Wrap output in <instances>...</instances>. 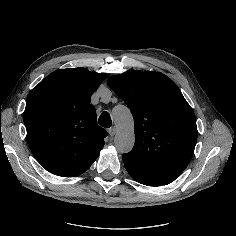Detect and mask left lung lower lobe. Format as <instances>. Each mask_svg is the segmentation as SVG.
<instances>
[{"instance_id":"obj_1","label":"left lung lower lobe","mask_w":236,"mask_h":236,"mask_svg":"<svg viewBox=\"0 0 236 236\" xmlns=\"http://www.w3.org/2000/svg\"><path fill=\"white\" fill-rule=\"evenodd\" d=\"M124 165H125V168L127 169L128 173L131 175V177L141 184L148 185V186L165 185L161 181L141 172L140 170H138L137 168H135L131 165H128L126 163H124Z\"/></svg>"}]
</instances>
